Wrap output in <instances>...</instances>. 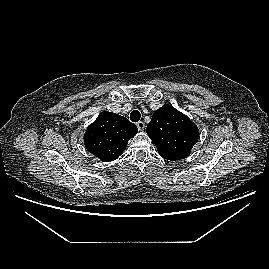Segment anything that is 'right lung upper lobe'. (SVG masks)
<instances>
[{
    "label": "right lung upper lobe",
    "instance_id": "cb5924a9",
    "mask_svg": "<svg viewBox=\"0 0 269 269\" xmlns=\"http://www.w3.org/2000/svg\"><path fill=\"white\" fill-rule=\"evenodd\" d=\"M137 132L136 125L125 117L103 111L88 126L84 135V145L101 161L109 162L123 153L128 140Z\"/></svg>",
    "mask_w": 269,
    "mask_h": 269
}]
</instances>
